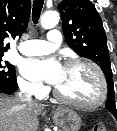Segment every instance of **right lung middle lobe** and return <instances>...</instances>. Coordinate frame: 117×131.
<instances>
[{
	"label": "right lung middle lobe",
	"instance_id": "obj_1",
	"mask_svg": "<svg viewBox=\"0 0 117 131\" xmlns=\"http://www.w3.org/2000/svg\"><path fill=\"white\" fill-rule=\"evenodd\" d=\"M4 52H0V86L10 90H17L15 67L2 60Z\"/></svg>",
	"mask_w": 117,
	"mask_h": 131
}]
</instances>
